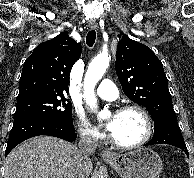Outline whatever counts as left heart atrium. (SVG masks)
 I'll return each instance as SVG.
<instances>
[{
  "mask_svg": "<svg viewBox=\"0 0 194 178\" xmlns=\"http://www.w3.org/2000/svg\"><path fill=\"white\" fill-rule=\"evenodd\" d=\"M106 129L112 133L113 129H114V121L110 120L108 121V123L106 124Z\"/></svg>",
  "mask_w": 194,
  "mask_h": 178,
  "instance_id": "obj_1",
  "label": "left heart atrium"
}]
</instances>
